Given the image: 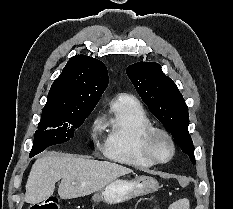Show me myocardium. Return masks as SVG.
Listing matches in <instances>:
<instances>
[{
  "mask_svg": "<svg viewBox=\"0 0 233 209\" xmlns=\"http://www.w3.org/2000/svg\"><path fill=\"white\" fill-rule=\"evenodd\" d=\"M164 137L170 145V155L166 159H161L157 156L154 150V143L157 138ZM143 149L145 154L155 163L165 164L172 160L175 155V142L172 135L163 128L152 127L149 129L143 138Z\"/></svg>",
  "mask_w": 233,
  "mask_h": 209,
  "instance_id": "myocardium-1",
  "label": "myocardium"
}]
</instances>
